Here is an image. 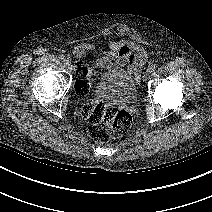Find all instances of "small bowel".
Here are the masks:
<instances>
[{"label":"small bowel","instance_id":"c3829d8e","mask_svg":"<svg viewBox=\"0 0 212 212\" xmlns=\"http://www.w3.org/2000/svg\"><path fill=\"white\" fill-rule=\"evenodd\" d=\"M97 43H81L74 48L76 57H83L97 49ZM148 61V56L140 46H134L126 41L110 42L102 57L96 61L98 67L106 69L126 68L129 74L137 75Z\"/></svg>","mask_w":212,"mask_h":212}]
</instances>
